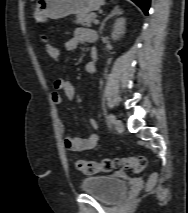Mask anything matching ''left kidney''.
Returning a JSON list of instances; mask_svg holds the SVG:
<instances>
[{"label": "left kidney", "instance_id": "obj_1", "mask_svg": "<svg viewBox=\"0 0 188 213\" xmlns=\"http://www.w3.org/2000/svg\"><path fill=\"white\" fill-rule=\"evenodd\" d=\"M125 18H119L115 21L111 37L113 40H118L125 33Z\"/></svg>", "mask_w": 188, "mask_h": 213}]
</instances>
